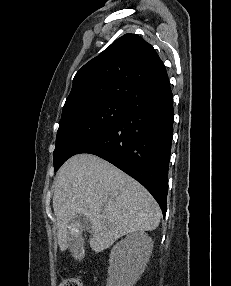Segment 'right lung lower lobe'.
I'll list each match as a JSON object with an SVG mask.
<instances>
[{
    "mask_svg": "<svg viewBox=\"0 0 231 286\" xmlns=\"http://www.w3.org/2000/svg\"><path fill=\"white\" fill-rule=\"evenodd\" d=\"M140 95L126 103L123 117L77 154L97 155L129 174L152 194L165 216L174 115L169 80Z\"/></svg>",
    "mask_w": 231,
    "mask_h": 286,
    "instance_id": "1",
    "label": "right lung lower lobe"
}]
</instances>
